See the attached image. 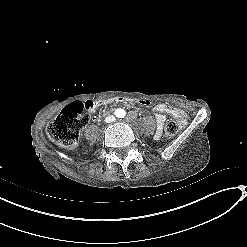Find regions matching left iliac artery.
Segmentation results:
<instances>
[{
	"label": "left iliac artery",
	"mask_w": 247,
	"mask_h": 247,
	"mask_svg": "<svg viewBox=\"0 0 247 247\" xmlns=\"http://www.w3.org/2000/svg\"><path fill=\"white\" fill-rule=\"evenodd\" d=\"M125 114H126L125 112L122 113L123 116H125Z\"/></svg>",
	"instance_id": "1"
}]
</instances>
